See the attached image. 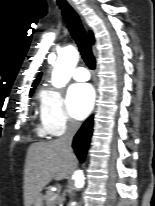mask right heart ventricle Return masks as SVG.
Instances as JSON below:
<instances>
[{
  "label": "right heart ventricle",
  "instance_id": "obj_1",
  "mask_svg": "<svg viewBox=\"0 0 155 206\" xmlns=\"http://www.w3.org/2000/svg\"><path fill=\"white\" fill-rule=\"evenodd\" d=\"M44 132H47V131L45 130V128H44V131H43V130L40 131V134L43 135Z\"/></svg>",
  "mask_w": 155,
  "mask_h": 206
}]
</instances>
